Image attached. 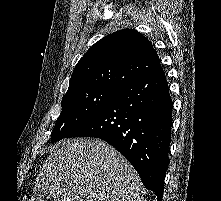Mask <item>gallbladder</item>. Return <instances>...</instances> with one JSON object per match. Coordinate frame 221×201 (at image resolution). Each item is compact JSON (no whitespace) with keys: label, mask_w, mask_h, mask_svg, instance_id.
Masks as SVG:
<instances>
[{"label":"gallbladder","mask_w":221,"mask_h":201,"mask_svg":"<svg viewBox=\"0 0 221 201\" xmlns=\"http://www.w3.org/2000/svg\"><path fill=\"white\" fill-rule=\"evenodd\" d=\"M38 198L40 201H50L52 198V195L47 191H40L38 193Z\"/></svg>","instance_id":"bac80fb5"}]
</instances>
